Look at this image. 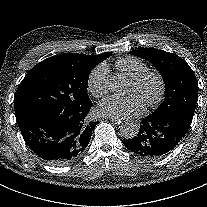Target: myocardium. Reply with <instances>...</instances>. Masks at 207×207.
Returning <instances> with one entry per match:
<instances>
[{"instance_id": "1", "label": "myocardium", "mask_w": 207, "mask_h": 207, "mask_svg": "<svg viewBox=\"0 0 207 207\" xmlns=\"http://www.w3.org/2000/svg\"><path fill=\"white\" fill-rule=\"evenodd\" d=\"M155 81L157 84V93L154 98L149 99L145 107L146 109L158 106L164 99L166 94V81L163 75L156 71H146L137 78L133 79L132 85L136 90H141L149 81Z\"/></svg>"}]
</instances>
